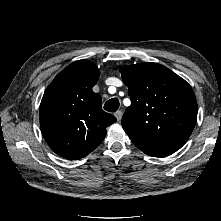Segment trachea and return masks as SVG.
Segmentation results:
<instances>
[{
    "instance_id": "1",
    "label": "trachea",
    "mask_w": 221,
    "mask_h": 221,
    "mask_svg": "<svg viewBox=\"0 0 221 221\" xmlns=\"http://www.w3.org/2000/svg\"><path fill=\"white\" fill-rule=\"evenodd\" d=\"M118 108H119V100L117 98H112L108 100L104 105V109L108 112H116Z\"/></svg>"
}]
</instances>
